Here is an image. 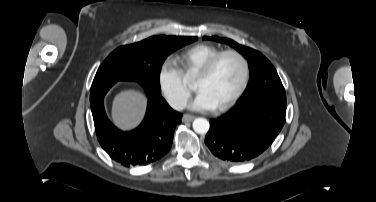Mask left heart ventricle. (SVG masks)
Instances as JSON below:
<instances>
[{"label": "left heart ventricle", "instance_id": "1", "mask_svg": "<svg viewBox=\"0 0 376 202\" xmlns=\"http://www.w3.org/2000/svg\"><path fill=\"white\" fill-rule=\"evenodd\" d=\"M242 78L240 62L233 56L221 58L212 73L203 79L196 78L195 87L205 91L216 107L224 104L237 90Z\"/></svg>", "mask_w": 376, "mask_h": 202}]
</instances>
